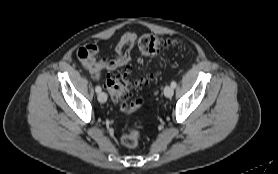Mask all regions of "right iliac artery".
<instances>
[{"instance_id":"82829eb1","label":"right iliac artery","mask_w":278,"mask_h":174,"mask_svg":"<svg viewBox=\"0 0 278 174\" xmlns=\"http://www.w3.org/2000/svg\"><path fill=\"white\" fill-rule=\"evenodd\" d=\"M95 91H96L97 93H100V92H101V87H100L99 85L96 86Z\"/></svg>"}]
</instances>
